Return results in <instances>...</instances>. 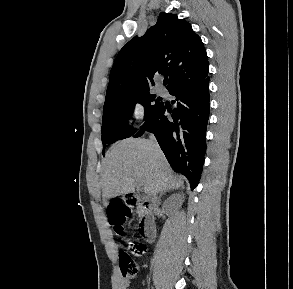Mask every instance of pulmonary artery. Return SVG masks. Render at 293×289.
<instances>
[{"mask_svg":"<svg viewBox=\"0 0 293 289\" xmlns=\"http://www.w3.org/2000/svg\"><path fill=\"white\" fill-rule=\"evenodd\" d=\"M157 93L159 95H164L165 92H164V89H163V87L161 85L157 86Z\"/></svg>","mask_w":293,"mask_h":289,"instance_id":"1","label":"pulmonary artery"}]
</instances>
